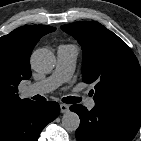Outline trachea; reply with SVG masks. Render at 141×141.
<instances>
[{
  "label": "trachea",
  "instance_id": "1",
  "mask_svg": "<svg viewBox=\"0 0 141 141\" xmlns=\"http://www.w3.org/2000/svg\"><path fill=\"white\" fill-rule=\"evenodd\" d=\"M41 99L44 100L43 97H41ZM80 100H81L80 98H78V97H73V96H68V97L62 98V101H63L64 103H68V104H75V103L80 102Z\"/></svg>",
  "mask_w": 141,
  "mask_h": 141
}]
</instances>
